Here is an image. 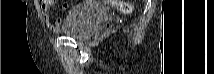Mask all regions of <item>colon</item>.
<instances>
[{
	"label": "colon",
	"mask_w": 214,
	"mask_h": 74,
	"mask_svg": "<svg viewBox=\"0 0 214 74\" xmlns=\"http://www.w3.org/2000/svg\"><path fill=\"white\" fill-rule=\"evenodd\" d=\"M110 5L125 13L131 12L133 10V5L128 2L111 1Z\"/></svg>",
	"instance_id": "1"
}]
</instances>
